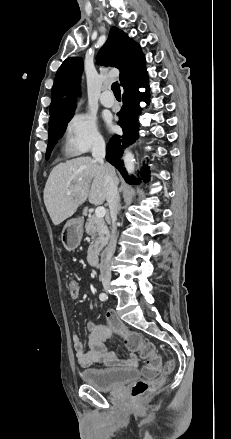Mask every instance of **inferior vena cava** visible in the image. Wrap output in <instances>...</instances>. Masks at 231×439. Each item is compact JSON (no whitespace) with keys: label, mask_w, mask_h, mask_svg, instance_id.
Segmentation results:
<instances>
[{"label":"inferior vena cava","mask_w":231,"mask_h":439,"mask_svg":"<svg viewBox=\"0 0 231 439\" xmlns=\"http://www.w3.org/2000/svg\"><path fill=\"white\" fill-rule=\"evenodd\" d=\"M106 155L105 142L103 140H97L92 147V156L102 166L106 168L105 180H106V195L107 203L110 209V216L112 220L111 234L109 236V242L102 254L100 264V278L103 281L111 280V260L116 248V221L117 214L120 207L119 192H118V178L115 175V171L109 164H104V158Z\"/></svg>","instance_id":"1"}]
</instances>
